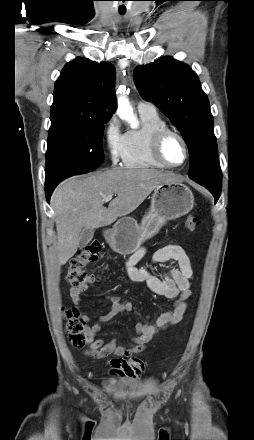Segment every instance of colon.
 Listing matches in <instances>:
<instances>
[{
    "mask_svg": "<svg viewBox=\"0 0 254 440\" xmlns=\"http://www.w3.org/2000/svg\"><path fill=\"white\" fill-rule=\"evenodd\" d=\"M184 225L190 231L195 230L197 218L194 215H188ZM100 254L101 245L98 242L89 243L79 249L71 259L66 277L67 281L73 286H83L94 282V274L87 272L84 268L90 262L96 261ZM65 319V330L70 344L75 348L83 347L87 340L86 319L76 309H67Z\"/></svg>",
    "mask_w": 254,
    "mask_h": 440,
    "instance_id": "obj_1",
    "label": "colon"
}]
</instances>
